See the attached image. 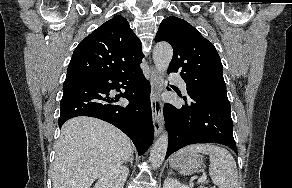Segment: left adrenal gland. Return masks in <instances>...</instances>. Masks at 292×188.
<instances>
[{
  "mask_svg": "<svg viewBox=\"0 0 292 188\" xmlns=\"http://www.w3.org/2000/svg\"><path fill=\"white\" fill-rule=\"evenodd\" d=\"M171 173H173V171H172V170L169 172V174H171Z\"/></svg>",
  "mask_w": 292,
  "mask_h": 188,
  "instance_id": "obj_1",
  "label": "left adrenal gland"
}]
</instances>
